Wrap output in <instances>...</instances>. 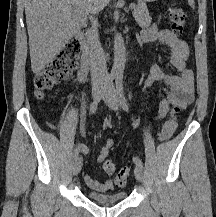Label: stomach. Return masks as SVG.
Returning a JSON list of instances; mask_svg holds the SVG:
<instances>
[{"label": "stomach", "instance_id": "1", "mask_svg": "<svg viewBox=\"0 0 216 217\" xmlns=\"http://www.w3.org/2000/svg\"><path fill=\"white\" fill-rule=\"evenodd\" d=\"M156 0H143L144 3H147V2H155Z\"/></svg>", "mask_w": 216, "mask_h": 217}]
</instances>
